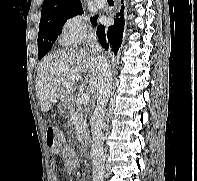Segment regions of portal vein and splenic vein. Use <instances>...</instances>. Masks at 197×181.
Instances as JSON below:
<instances>
[{"mask_svg": "<svg viewBox=\"0 0 197 181\" xmlns=\"http://www.w3.org/2000/svg\"><path fill=\"white\" fill-rule=\"evenodd\" d=\"M80 79H82V75H80V74L68 76V80H71V81H76V80H80ZM61 81H63L62 78H57V82H61ZM89 100H90V94L88 92H84L81 95V101H82L83 105H87L89 103Z\"/></svg>", "mask_w": 197, "mask_h": 181, "instance_id": "obj_1", "label": "portal vein and splenic vein"}]
</instances>
